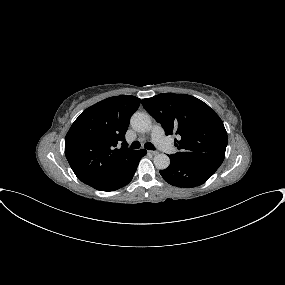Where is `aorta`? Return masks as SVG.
Masks as SVG:
<instances>
[{"label": "aorta", "instance_id": "aorta-1", "mask_svg": "<svg viewBox=\"0 0 285 285\" xmlns=\"http://www.w3.org/2000/svg\"><path fill=\"white\" fill-rule=\"evenodd\" d=\"M130 124L135 131L141 133L150 131L152 127L150 117L147 114L141 112L133 114L130 120ZM153 162L155 167L160 170H164L170 165L169 157L163 153L155 155Z\"/></svg>", "mask_w": 285, "mask_h": 285}]
</instances>
